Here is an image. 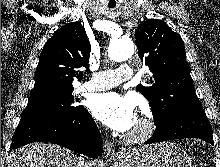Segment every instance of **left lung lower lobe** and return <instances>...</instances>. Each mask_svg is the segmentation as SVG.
Masks as SVG:
<instances>
[{"label": "left lung lower lobe", "instance_id": "left-lung-lower-lobe-1", "mask_svg": "<svg viewBox=\"0 0 220 167\" xmlns=\"http://www.w3.org/2000/svg\"><path fill=\"white\" fill-rule=\"evenodd\" d=\"M180 138H200L214 144L212 128L203 108L183 110L167 116L156 124L153 136L145 144Z\"/></svg>", "mask_w": 220, "mask_h": 167}]
</instances>
